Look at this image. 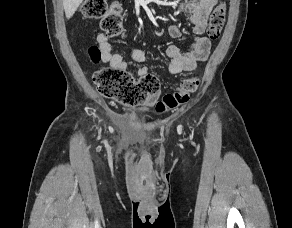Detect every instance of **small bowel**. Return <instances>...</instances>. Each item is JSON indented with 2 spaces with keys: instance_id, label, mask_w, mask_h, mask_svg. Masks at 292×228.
I'll return each mask as SVG.
<instances>
[{
  "instance_id": "obj_1",
  "label": "small bowel",
  "mask_w": 292,
  "mask_h": 228,
  "mask_svg": "<svg viewBox=\"0 0 292 228\" xmlns=\"http://www.w3.org/2000/svg\"><path fill=\"white\" fill-rule=\"evenodd\" d=\"M218 0H188L181 5V9L187 14L188 22L191 24L192 42L183 51L177 45H169L166 48V55L170 58L168 72L172 75L193 70L198 62L205 61L211 50V42L207 36L204 35L207 20L210 12L213 10ZM168 34L172 38L182 36L183 29L179 26L173 25L168 28ZM97 43L101 51L102 60L109 64L111 68L127 70L128 64L123 57L112 51V46L109 37L100 33L97 36ZM132 61L141 63L146 60V52L143 49H135L130 52ZM149 73L147 67L139 68L134 75L136 77H143ZM158 94L147 99L146 107H152L157 101Z\"/></svg>"
}]
</instances>
